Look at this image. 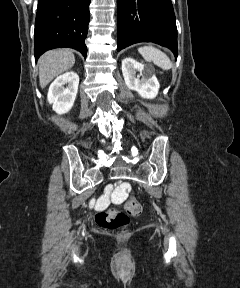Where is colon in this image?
Listing matches in <instances>:
<instances>
[{"instance_id":"1","label":"colon","mask_w":240,"mask_h":288,"mask_svg":"<svg viewBox=\"0 0 240 288\" xmlns=\"http://www.w3.org/2000/svg\"><path fill=\"white\" fill-rule=\"evenodd\" d=\"M124 188L128 192L131 191L129 184H124ZM141 212V204L135 198L130 197L125 202L124 211L116 207L100 211L96 215V222L105 229L113 230L125 226L129 222L130 216H138Z\"/></svg>"}]
</instances>
